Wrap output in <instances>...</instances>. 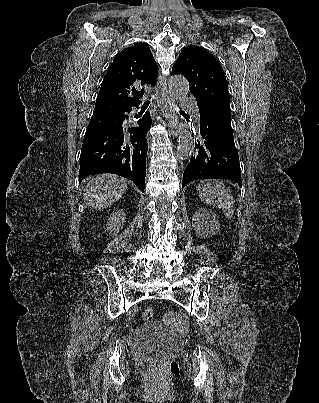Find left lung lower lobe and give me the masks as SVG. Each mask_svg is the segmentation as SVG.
I'll return each instance as SVG.
<instances>
[{"mask_svg":"<svg viewBox=\"0 0 319 403\" xmlns=\"http://www.w3.org/2000/svg\"><path fill=\"white\" fill-rule=\"evenodd\" d=\"M200 140L183 174L182 188L197 179H229L241 186L239 156L231 127L230 105L198 104Z\"/></svg>","mask_w":319,"mask_h":403,"instance_id":"1","label":"left lung lower lobe"}]
</instances>
